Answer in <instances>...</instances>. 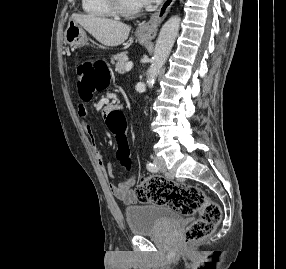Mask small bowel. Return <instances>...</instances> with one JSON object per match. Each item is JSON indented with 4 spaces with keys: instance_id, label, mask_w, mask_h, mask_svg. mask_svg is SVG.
Segmentation results:
<instances>
[{
    "instance_id": "small-bowel-1",
    "label": "small bowel",
    "mask_w": 286,
    "mask_h": 269,
    "mask_svg": "<svg viewBox=\"0 0 286 269\" xmlns=\"http://www.w3.org/2000/svg\"><path fill=\"white\" fill-rule=\"evenodd\" d=\"M78 118L82 122L83 128L86 134L90 137L92 142V146L94 148L95 157L99 167L101 168L105 178L110 181L112 178L110 168L106 167L104 164V159L99 150L97 149L95 136L91 125L87 122L88 109L84 102H80L78 104L77 109ZM107 116H110V109L104 108L103 111L100 112V120H107ZM117 138V137H116ZM117 161L120 162L118 155H116ZM134 182V176L126 178L123 182V185L118 186L113 183H109V188L112 194L124 204H132L136 201V196L134 191L130 188V185Z\"/></svg>"
}]
</instances>
